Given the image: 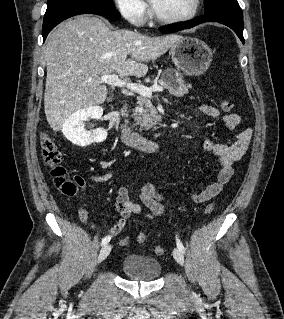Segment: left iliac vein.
Returning <instances> with one entry per match:
<instances>
[{
  "label": "left iliac vein",
  "instance_id": "4c4485c4",
  "mask_svg": "<svg viewBox=\"0 0 284 319\" xmlns=\"http://www.w3.org/2000/svg\"><path fill=\"white\" fill-rule=\"evenodd\" d=\"M173 256H174L175 260H176L180 265H183V264H184V256H183V253H182L178 248H174V250H173Z\"/></svg>",
  "mask_w": 284,
  "mask_h": 319
}]
</instances>
